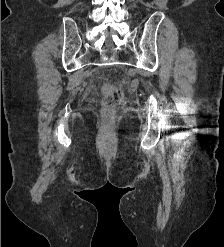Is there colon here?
Returning a JSON list of instances; mask_svg holds the SVG:
<instances>
[{
    "instance_id": "1",
    "label": "colon",
    "mask_w": 224,
    "mask_h": 247,
    "mask_svg": "<svg viewBox=\"0 0 224 247\" xmlns=\"http://www.w3.org/2000/svg\"><path fill=\"white\" fill-rule=\"evenodd\" d=\"M104 94V113L107 117H112L115 113V108L121 103L123 99V92L121 89L106 83L103 86Z\"/></svg>"
}]
</instances>
